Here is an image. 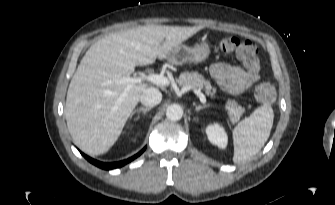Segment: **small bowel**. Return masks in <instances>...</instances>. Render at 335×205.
Masks as SVG:
<instances>
[{"label":"small bowel","mask_w":335,"mask_h":205,"mask_svg":"<svg viewBox=\"0 0 335 205\" xmlns=\"http://www.w3.org/2000/svg\"><path fill=\"white\" fill-rule=\"evenodd\" d=\"M209 71L219 87L232 95L245 92L260 79L257 71L245 70L238 65L224 62L212 64Z\"/></svg>","instance_id":"1"}]
</instances>
